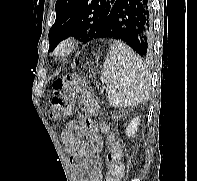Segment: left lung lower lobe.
Instances as JSON below:
<instances>
[{"label": "left lung lower lobe", "mask_w": 197, "mask_h": 181, "mask_svg": "<svg viewBox=\"0 0 197 181\" xmlns=\"http://www.w3.org/2000/svg\"><path fill=\"white\" fill-rule=\"evenodd\" d=\"M151 35V1L116 0L103 22L98 38L121 40L144 57L152 51Z\"/></svg>", "instance_id": "obj_1"}]
</instances>
